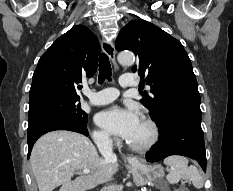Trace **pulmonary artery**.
<instances>
[{
    "mask_svg": "<svg viewBox=\"0 0 233 191\" xmlns=\"http://www.w3.org/2000/svg\"><path fill=\"white\" fill-rule=\"evenodd\" d=\"M119 82L122 88H134L136 86L134 78L130 75L121 76ZM85 94L91 104L105 105L114 101L118 97L119 91L116 88L108 87L97 92L87 89Z\"/></svg>",
    "mask_w": 233,
    "mask_h": 191,
    "instance_id": "pulmonary-artery-1",
    "label": "pulmonary artery"
}]
</instances>
